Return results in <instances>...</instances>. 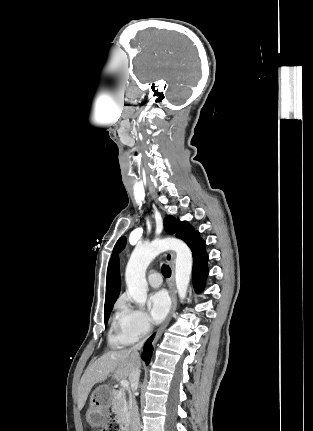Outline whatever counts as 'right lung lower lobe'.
Returning a JSON list of instances; mask_svg holds the SVG:
<instances>
[{
	"label": "right lung lower lobe",
	"instance_id": "98d812e1",
	"mask_svg": "<svg viewBox=\"0 0 313 431\" xmlns=\"http://www.w3.org/2000/svg\"><path fill=\"white\" fill-rule=\"evenodd\" d=\"M153 338H154V334L147 340V342L144 345L142 359L145 361L146 365L149 364L152 356L153 348L151 343L153 341Z\"/></svg>",
	"mask_w": 313,
	"mask_h": 431
}]
</instances>
